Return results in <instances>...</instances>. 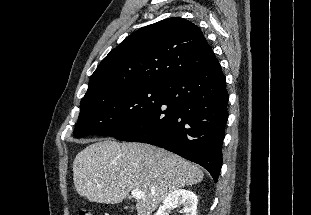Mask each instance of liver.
<instances>
[{
	"mask_svg": "<svg viewBox=\"0 0 311 215\" xmlns=\"http://www.w3.org/2000/svg\"><path fill=\"white\" fill-rule=\"evenodd\" d=\"M199 167L176 154L141 143L98 140L80 151L73 162L77 193L90 202L118 204L134 190L145 198L137 215H151L174 190L203 180Z\"/></svg>",
	"mask_w": 311,
	"mask_h": 215,
	"instance_id": "liver-1",
	"label": "liver"
}]
</instances>
